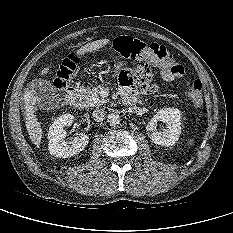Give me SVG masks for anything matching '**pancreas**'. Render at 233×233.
<instances>
[{"instance_id": "cf45deb5", "label": "pancreas", "mask_w": 233, "mask_h": 233, "mask_svg": "<svg viewBox=\"0 0 233 233\" xmlns=\"http://www.w3.org/2000/svg\"><path fill=\"white\" fill-rule=\"evenodd\" d=\"M79 96L83 100L84 107H99L107 103L106 99L100 97L98 88L87 89L80 87Z\"/></svg>"}]
</instances>
